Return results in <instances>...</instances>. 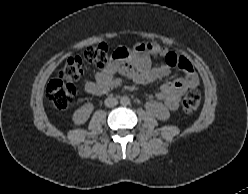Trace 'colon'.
I'll return each mask as SVG.
<instances>
[{"label":"colon","mask_w":248,"mask_h":194,"mask_svg":"<svg viewBox=\"0 0 248 194\" xmlns=\"http://www.w3.org/2000/svg\"><path fill=\"white\" fill-rule=\"evenodd\" d=\"M166 63L173 66L175 54L168 52L161 54ZM110 57L108 47L104 43L89 47L82 56L69 58L61 68L57 77L52 79L46 88L48 100L58 109L66 108L76 96V88L73 81L79 79L88 65L105 67ZM201 94L198 90L192 89L186 93L182 100V110L186 114H194L200 105Z\"/></svg>","instance_id":"1"}]
</instances>
